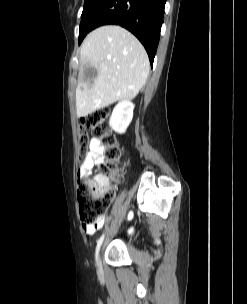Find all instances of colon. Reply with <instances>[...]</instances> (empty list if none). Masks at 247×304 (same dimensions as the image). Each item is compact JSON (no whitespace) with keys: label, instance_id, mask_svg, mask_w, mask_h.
<instances>
[{"label":"colon","instance_id":"colon-1","mask_svg":"<svg viewBox=\"0 0 247 304\" xmlns=\"http://www.w3.org/2000/svg\"><path fill=\"white\" fill-rule=\"evenodd\" d=\"M109 119L110 113L107 109H98L81 120L80 159L84 160L87 157L91 139L103 142L107 152V159L100 165V172L94 178L79 179L78 201L83 225L96 223L113 201L114 192L109 179L116 183L123 180V149L110 131Z\"/></svg>","mask_w":247,"mask_h":304}]
</instances>
